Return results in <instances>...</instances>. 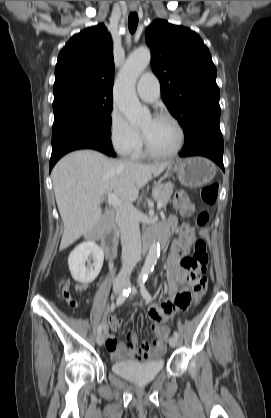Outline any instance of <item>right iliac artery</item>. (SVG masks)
<instances>
[{
  "label": "right iliac artery",
  "instance_id": "1",
  "mask_svg": "<svg viewBox=\"0 0 271 418\" xmlns=\"http://www.w3.org/2000/svg\"><path fill=\"white\" fill-rule=\"evenodd\" d=\"M130 291H131V288L130 287L127 288V289H124L122 291V293L118 296V298L116 300V306H119V305H121V304L124 303V301L126 300V298L129 296ZM113 309H114V307H113ZM102 327H103L102 324H100L99 327H98V333H101Z\"/></svg>",
  "mask_w": 271,
  "mask_h": 418
}]
</instances>
